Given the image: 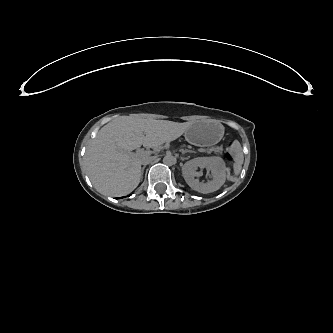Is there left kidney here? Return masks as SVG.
Here are the masks:
<instances>
[{
	"mask_svg": "<svg viewBox=\"0 0 333 333\" xmlns=\"http://www.w3.org/2000/svg\"><path fill=\"white\" fill-rule=\"evenodd\" d=\"M198 168L200 171H197ZM206 169L210 179L201 182L199 177ZM225 161L219 156L196 157L187 161L182 167V174L186 183L200 193H212L220 189L227 176Z\"/></svg>",
	"mask_w": 333,
	"mask_h": 333,
	"instance_id": "obj_1",
	"label": "left kidney"
}]
</instances>
